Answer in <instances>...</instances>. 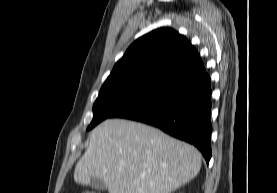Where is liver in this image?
<instances>
[{"label":"liver","mask_w":277,"mask_h":193,"mask_svg":"<svg viewBox=\"0 0 277 193\" xmlns=\"http://www.w3.org/2000/svg\"><path fill=\"white\" fill-rule=\"evenodd\" d=\"M200 168L195 147L142 123L108 119L91 132L74 180L88 185L100 178L109 193H171Z\"/></svg>","instance_id":"1"}]
</instances>
